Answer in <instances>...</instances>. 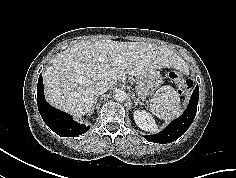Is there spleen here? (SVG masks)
Masks as SVG:
<instances>
[{"mask_svg": "<svg viewBox=\"0 0 236 178\" xmlns=\"http://www.w3.org/2000/svg\"><path fill=\"white\" fill-rule=\"evenodd\" d=\"M150 111L164 120L178 116L182 112L179 94L169 85L162 86L151 99Z\"/></svg>", "mask_w": 236, "mask_h": 178, "instance_id": "spleen-1", "label": "spleen"}]
</instances>
